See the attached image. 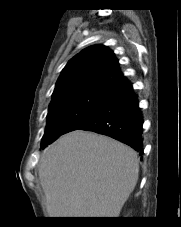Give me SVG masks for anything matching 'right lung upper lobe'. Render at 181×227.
Segmentation results:
<instances>
[{"mask_svg":"<svg viewBox=\"0 0 181 227\" xmlns=\"http://www.w3.org/2000/svg\"><path fill=\"white\" fill-rule=\"evenodd\" d=\"M122 79L114 53L103 45L90 46L66 64L51 102L78 93L112 90Z\"/></svg>","mask_w":181,"mask_h":227,"instance_id":"cb5924a9","label":"right lung upper lobe"}]
</instances>
